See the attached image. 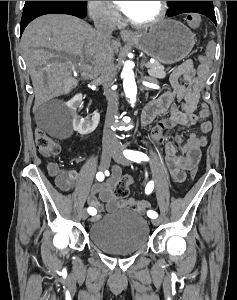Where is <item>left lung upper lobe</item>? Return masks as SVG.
Returning <instances> with one entry per match:
<instances>
[{
  "instance_id": "left-lung-upper-lobe-1",
  "label": "left lung upper lobe",
  "mask_w": 237,
  "mask_h": 300,
  "mask_svg": "<svg viewBox=\"0 0 237 300\" xmlns=\"http://www.w3.org/2000/svg\"><path fill=\"white\" fill-rule=\"evenodd\" d=\"M170 10L168 16L193 12L197 9H214L212 1H168Z\"/></svg>"
}]
</instances>
